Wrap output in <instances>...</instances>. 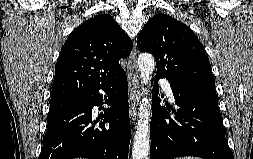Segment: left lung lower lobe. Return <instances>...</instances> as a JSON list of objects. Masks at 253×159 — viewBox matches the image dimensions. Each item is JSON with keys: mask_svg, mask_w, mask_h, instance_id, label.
<instances>
[{"mask_svg": "<svg viewBox=\"0 0 253 159\" xmlns=\"http://www.w3.org/2000/svg\"><path fill=\"white\" fill-rule=\"evenodd\" d=\"M171 89L179 106L177 111L172 109L174 119L160 105L159 85L155 82L153 87L150 159H233L215 90L179 84H171Z\"/></svg>", "mask_w": 253, "mask_h": 159, "instance_id": "1", "label": "left lung lower lobe"}]
</instances>
